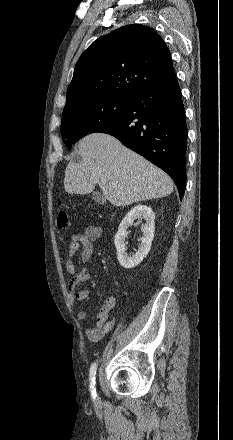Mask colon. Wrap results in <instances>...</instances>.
<instances>
[{"instance_id": "5ec220e1", "label": "colon", "mask_w": 233, "mask_h": 440, "mask_svg": "<svg viewBox=\"0 0 233 440\" xmlns=\"http://www.w3.org/2000/svg\"><path fill=\"white\" fill-rule=\"evenodd\" d=\"M69 218L62 206L61 199L58 200V208L56 211V225L59 229H66L69 227Z\"/></svg>"}]
</instances>
